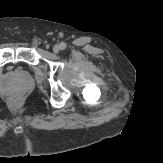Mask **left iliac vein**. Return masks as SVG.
I'll list each match as a JSON object with an SVG mask.
<instances>
[{
  "label": "left iliac vein",
  "mask_w": 163,
  "mask_h": 163,
  "mask_svg": "<svg viewBox=\"0 0 163 163\" xmlns=\"http://www.w3.org/2000/svg\"><path fill=\"white\" fill-rule=\"evenodd\" d=\"M59 50H60V47H59L58 45H55V46L53 47L54 53H58Z\"/></svg>",
  "instance_id": "4c4485c4"
}]
</instances>
